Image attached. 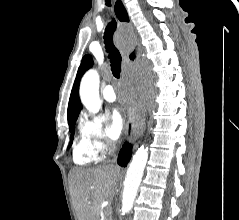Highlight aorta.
Returning <instances> with one entry per match:
<instances>
[{
  "mask_svg": "<svg viewBox=\"0 0 239 220\" xmlns=\"http://www.w3.org/2000/svg\"><path fill=\"white\" fill-rule=\"evenodd\" d=\"M123 40H130V36L128 34L124 35ZM80 98L84 106L90 112L96 113L100 110L99 76L96 71L90 70L82 78L80 84ZM147 160L148 147L142 145L133 156L124 180L122 195V211L124 213H129L133 208Z\"/></svg>",
  "mask_w": 239,
  "mask_h": 220,
  "instance_id": "762f6f07",
  "label": "aorta"
}]
</instances>
